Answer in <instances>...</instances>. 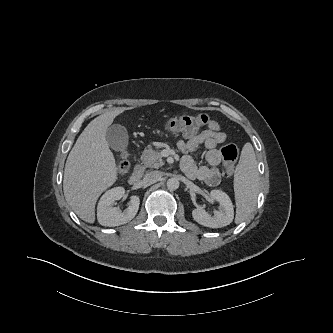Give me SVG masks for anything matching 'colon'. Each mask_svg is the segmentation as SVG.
<instances>
[{
    "mask_svg": "<svg viewBox=\"0 0 333 333\" xmlns=\"http://www.w3.org/2000/svg\"><path fill=\"white\" fill-rule=\"evenodd\" d=\"M208 123V116L184 115L174 117L166 122V129L171 133H179L191 136ZM221 156L224 161L225 169L232 172L238 159V148L235 144H227L221 149ZM130 164L125 155H121L118 161V170L120 174H127Z\"/></svg>",
    "mask_w": 333,
    "mask_h": 333,
    "instance_id": "5ec220e1",
    "label": "colon"
}]
</instances>
